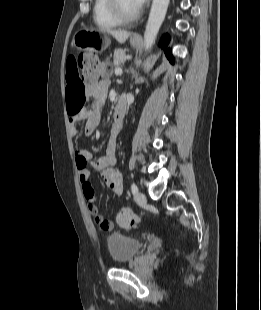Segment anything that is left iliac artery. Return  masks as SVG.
Here are the masks:
<instances>
[{
  "instance_id": "obj_1",
  "label": "left iliac artery",
  "mask_w": 261,
  "mask_h": 310,
  "mask_svg": "<svg viewBox=\"0 0 261 310\" xmlns=\"http://www.w3.org/2000/svg\"><path fill=\"white\" fill-rule=\"evenodd\" d=\"M131 191L133 194H136L138 192V187L135 183L131 184Z\"/></svg>"
}]
</instances>
